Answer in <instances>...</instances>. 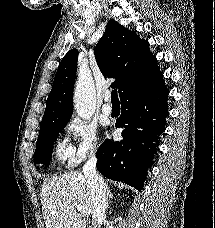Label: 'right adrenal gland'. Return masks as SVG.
<instances>
[{
    "mask_svg": "<svg viewBox=\"0 0 215 228\" xmlns=\"http://www.w3.org/2000/svg\"><path fill=\"white\" fill-rule=\"evenodd\" d=\"M110 198H111V200H113V198H114V196H113V194H111V192H109V196H108V200H107V208H108V206H110V204H109Z\"/></svg>",
    "mask_w": 215,
    "mask_h": 228,
    "instance_id": "2a0ac1e0",
    "label": "right adrenal gland"
}]
</instances>
